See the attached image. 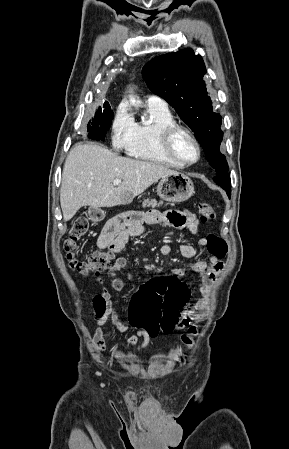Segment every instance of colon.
<instances>
[{
  "label": "colon",
  "mask_w": 289,
  "mask_h": 449,
  "mask_svg": "<svg viewBox=\"0 0 289 449\" xmlns=\"http://www.w3.org/2000/svg\"><path fill=\"white\" fill-rule=\"evenodd\" d=\"M202 222H209L215 218V212L211 205L202 203L199 206ZM89 220L81 216L74 220L67 238L64 241V249L69 267L82 276L98 274L112 266L115 253L111 250H97L87 260H79L75 254L77 242L86 233ZM207 249L209 253L219 259L226 256L228 246L226 241L216 234L207 236ZM141 291L128 301L130 310V323L133 327L142 329L150 337H156L159 333L170 334L181 323L182 312L189 298L187 286L177 278H158L147 286L142 295ZM95 308L100 314L104 308L101 296L95 298ZM197 328L190 327L181 339L186 349H191Z\"/></svg>",
  "instance_id": "colon-1"
}]
</instances>
